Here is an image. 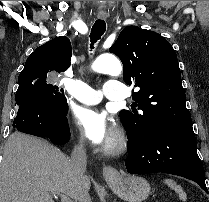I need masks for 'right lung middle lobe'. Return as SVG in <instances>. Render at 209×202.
Wrapping results in <instances>:
<instances>
[{
    "mask_svg": "<svg viewBox=\"0 0 209 202\" xmlns=\"http://www.w3.org/2000/svg\"><path fill=\"white\" fill-rule=\"evenodd\" d=\"M19 88L28 89L32 96L41 104L60 112H68L67 99L63 94V89L50 84L47 74L34 73L19 75Z\"/></svg>",
    "mask_w": 209,
    "mask_h": 202,
    "instance_id": "dd1d6c3e",
    "label": "right lung middle lobe"
}]
</instances>
